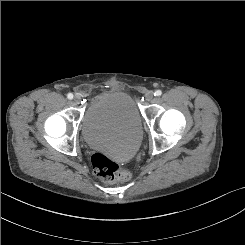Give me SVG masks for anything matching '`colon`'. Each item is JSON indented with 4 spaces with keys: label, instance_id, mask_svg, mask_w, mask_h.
I'll list each match as a JSON object with an SVG mask.
<instances>
[{
    "label": "colon",
    "instance_id": "colon-1",
    "mask_svg": "<svg viewBox=\"0 0 245 245\" xmlns=\"http://www.w3.org/2000/svg\"><path fill=\"white\" fill-rule=\"evenodd\" d=\"M91 163L94 173L105 182H122L131 178L129 172L122 170L116 162L101 153H95Z\"/></svg>",
    "mask_w": 245,
    "mask_h": 245
}]
</instances>
